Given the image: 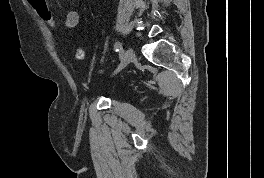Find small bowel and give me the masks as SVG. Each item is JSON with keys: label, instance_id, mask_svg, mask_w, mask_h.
Masks as SVG:
<instances>
[{"label": "small bowel", "instance_id": "obj_1", "mask_svg": "<svg viewBox=\"0 0 264 178\" xmlns=\"http://www.w3.org/2000/svg\"><path fill=\"white\" fill-rule=\"evenodd\" d=\"M79 20L80 15L77 10L69 11L64 20V28L68 30L75 28L78 25Z\"/></svg>", "mask_w": 264, "mask_h": 178}]
</instances>
